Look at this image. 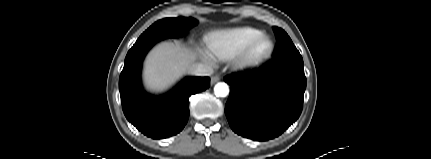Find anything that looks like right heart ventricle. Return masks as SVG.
I'll use <instances>...</instances> for the list:
<instances>
[{"label": "right heart ventricle", "instance_id": "e07e8e85", "mask_svg": "<svg viewBox=\"0 0 431 159\" xmlns=\"http://www.w3.org/2000/svg\"><path fill=\"white\" fill-rule=\"evenodd\" d=\"M261 33L259 29L243 26L210 32L205 41L213 56L228 59Z\"/></svg>", "mask_w": 431, "mask_h": 159}]
</instances>
